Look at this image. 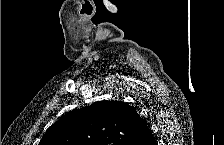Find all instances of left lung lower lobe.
I'll return each instance as SVG.
<instances>
[{
    "mask_svg": "<svg viewBox=\"0 0 224 145\" xmlns=\"http://www.w3.org/2000/svg\"><path fill=\"white\" fill-rule=\"evenodd\" d=\"M132 145H156L155 138L146 122L142 124L141 130L135 137Z\"/></svg>",
    "mask_w": 224,
    "mask_h": 145,
    "instance_id": "1",
    "label": "left lung lower lobe"
}]
</instances>
